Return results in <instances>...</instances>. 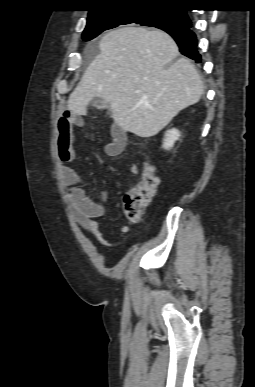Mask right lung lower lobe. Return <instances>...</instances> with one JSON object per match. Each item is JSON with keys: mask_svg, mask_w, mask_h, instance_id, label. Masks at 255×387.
Wrapping results in <instances>:
<instances>
[{"mask_svg": "<svg viewBox=\"0 0 255 387\" xmlns=\"http://www.w3.org/2000/svg\"><path fill=\"white\" fill-rule=\"evenodd\" d=\"M162 30L174 38L183 55L193 59L196 63L201 62V56L197 48L198 42L196 35L193 32L192 25L180 28H163Z\"/></svg>", "mask_w": 255, "mask_h": 387, "instance_id": "98d812e1", "label": "right lung lower lobe"}]
</instances>
